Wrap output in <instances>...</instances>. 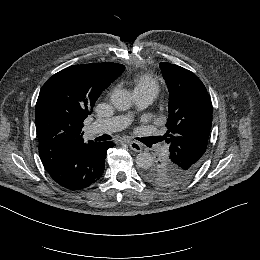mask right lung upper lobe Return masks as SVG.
Instances as JSON below:
<instances>
[{
  "instance_id": "obj_1",
  "label": "right lung upper lobe",
  "mask_w": 260,
  "mask_h": 260,
  "mask_svg": "<svg viewBox=\"0 0 260 260\" xmlns=\"http://www.w3.org/2000/svg\"><path fill=\"white\" fill-rule=\"evenodd\" d=\"M125 69L117 63L73 65L50 77L39 94L35 121L46 170L85 144L83 121L95 101Z\"/></svg>"
}]
</instances>
